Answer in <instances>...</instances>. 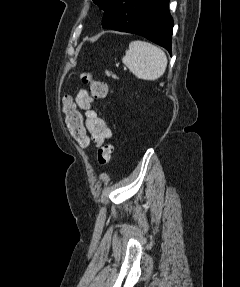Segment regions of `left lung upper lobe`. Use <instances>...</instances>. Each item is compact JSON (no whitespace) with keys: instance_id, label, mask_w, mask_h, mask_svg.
<instances>
[{"instance_id":"left-lung-upper-lobe-1","label":"left lung upper lobe","mask_w":240,"mask_h":287,"mask_svg":"<svg viewBox=\"0 0 240 287\" xmlns=\"http://www.w3.org/2000/svg\"><path fill=\"white\" fill-rule=\"evenodd\" d=\"M108 1H109V0H93V2H94L95 4H97V5L99 6V8H101V9H103V10H104V8H105V6H106V4H107Z\"/></svg>"}]
</instances>
